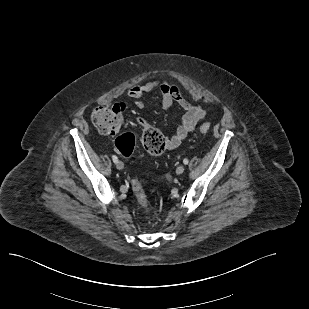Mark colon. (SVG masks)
I'll list each match as a JSON object with an SVG mask.
<instances>
[{"label":"colon","mask_w":309,"mask_h":309,"mask_svg":"<svg viewBox=\"0 0 309 309\" xmlns=\"http://www.w3.org/2000/svg\"><path fill=\"white\" fill-rule=\"evenodd\" d=\"M124 108L115 106H100L91 113V120L98 131L104 135H117L115 140L116 150L124 157H130L135 148V137L130 132H122ZM210 130L209 124L200 126V132ZM143 146L150 154H161L166 147V139L162 132L154 126H146L142 136ZM134 196L144 210L148 209V201L141 182L134 178L131 182Z\"/></svg>","instance_id":"obj_1"}]
</instances>
